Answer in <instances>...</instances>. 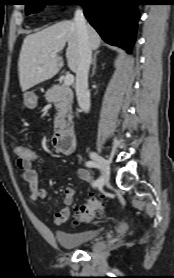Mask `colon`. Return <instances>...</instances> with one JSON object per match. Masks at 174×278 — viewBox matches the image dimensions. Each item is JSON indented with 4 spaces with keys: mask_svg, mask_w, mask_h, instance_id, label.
<instances>
[{
    "mask_svg": "<svg viewBox=\"0 0 174 278\" xmlns=\"http://www.w3.org/2000/svg\"><path fill=\"white\" fill-rule=\"evenodd\" d=\"M13 151L19 159H33L36 158V152L31 147L27 146H15ZM103 202L98 198H90L86 203L79 207H76L73 211V217L76 222L90 221L95 217L102 214Z\"/></svg>",
    "mask_w": 174,
    "mask_h": 278,
    "instance_id": "colon-1",
    "label": "colon"
}]
</instances>
